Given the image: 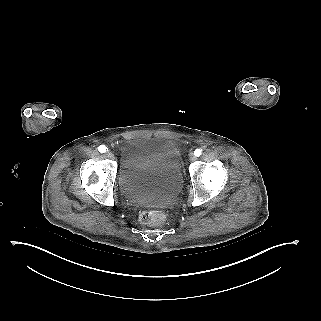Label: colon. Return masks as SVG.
<instances>
[{
    "label": "colon",
    "instance_id": "colon-1",
    "mask_svg": "<svg viewBox=\"0 0 321 321\" xmlns=\"http://www.w3.org/2000/svg\"><path fill=\"white\" fill-rule=\"evenodd\" d=\"M166 220V214L161 210H148L140 214V221L145 225L157 226Z\"/></svg>",
    "mask_w": 321,
    "mask_h": 321
}]
</instances>
